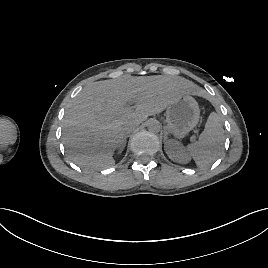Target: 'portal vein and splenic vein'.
<instances>
[{
  "mask_svg": "<svg viewBox=\"0 0 268 268\" xmlns=\"http://www.w3.org/2000/svg\"><path fill=\"white\" fill-rule=\"evenodd\" d=\"M133 103V101H131V104ZM133 108L132 105H128L125 109H124V112H128L130 111L131 109Z\"/></svg>",
  "mask_w": 268,
  "mask_h": 268,
  "instance_id": "18ae733b",
  "label": "portal vein and splenic vein"
}]
</instances>
